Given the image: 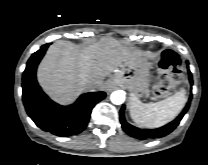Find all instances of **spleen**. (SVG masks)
<instances>
[{
	"instance_id": "spleen-1",
	"label": "spleen",
	"mask_w": 208,
	"mask_h": 165,
	"mask_svg": "<svg viewBox=\"0 0 208 165\" xmlns=\"http://www.w3.org/2000/svg\"><path fill=\"white\" fill-rule=\"evenodd\" d=\"M187 97L181 90L165 100L142 103L136 96L130 98V116L139 126L157 128L172 121L183 109Z\"/></svg>"
}]
</instances>
